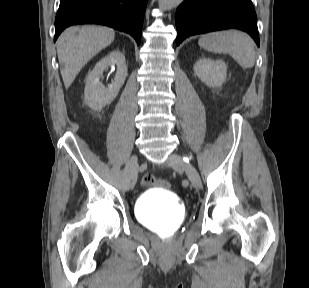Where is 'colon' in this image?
Returning a JSON list of instances; mask_svg holds the SVG:
<instances>
[{
    "label": "colon",
    "mask_w": 309,
    "mask_h": 288,
    "mask_svg": "<svg viewBox=\"0 0 309 288\" xmlns=\"http://www.w3.org/2000/svg\"><path fill=\"white\" fill-rule=\"evenodd\" d=\"M141 184L143 186H158V187H167L168 183L165 181L159 180L153 175H145L142 180Z\"/></svg>",
    "instance_id": "1"
}]
</instances>
